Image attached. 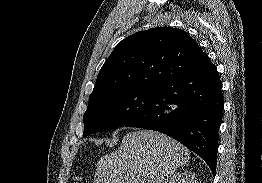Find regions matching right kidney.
I'll list each match as a JSON object with an SVG mask.
<instances>
[{"instance_id": "1", "label": "right kidney", "mask_w": 262, "mask_h": 183, "mask_svg": "<svg viewBox=\"0 0 262 183\" xmlns=\"http://www.w3.org/2000/svg\"><path fill=\"white\" fill-rule=\"evenodd\" d=\"M169 183H197L195 180V175L192 172H178L175 173Z\"/></svg>"}]
</instances>
